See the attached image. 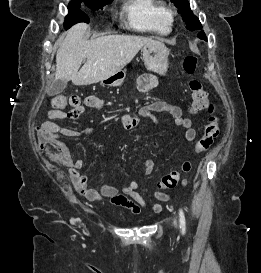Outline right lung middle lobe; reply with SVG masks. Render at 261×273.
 Masks as SVG:
<instances>
[{"instance_id": "1", "label": "right lung middle lobe", "mask_w": 261, "mask_h": 273, "mask_svg": "<svg viewBox=\"0 0 261 273\" xmlns=\"http://www.w3.org/2000/svg\"><path fill=\"white\" fill-rule=\"evenodd\" d=\"M81 2L82 0H71L69 3V14L66 16L64 22L65 29L70 28L78 22H89L87 15L79 9ZM84 2L92 10H98L111 3L112 0H84Z\"/></svg>"}]
</instances>
